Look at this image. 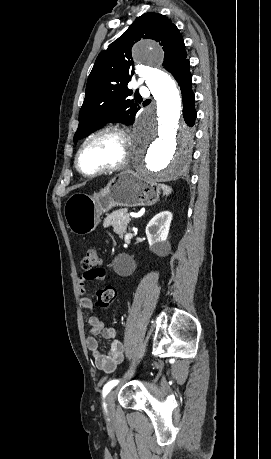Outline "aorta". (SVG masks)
Segmentation results:
<instances>
[{
    "label": "aorta",
    "mask_w": 271,
    "mask_h": 459,
    "mask_svg": "<svg viewBox=\"0 0 271 459\" xmlns=\"http://www.w3.org/2000/svg\"><path fill=\"white\" fill-rule=\"evenodd\" d=\"M132 54L140 61L138 72L154 97L134 130L132 166L146 180H171L189 166L193 132L180 117L181 97L175 81L160 69L164 56L160 45L141 40Z\"/></svg>",
    "instance_id": "1"
}]
</instances>
